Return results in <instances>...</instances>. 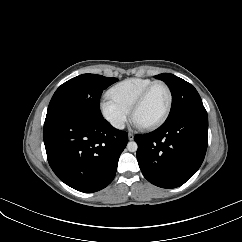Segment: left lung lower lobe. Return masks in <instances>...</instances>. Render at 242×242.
Segmentation results:
<instances>
[{
    "instance_id": "1",
    "label": "left lung lower lobe",
    "mask_w": 242,
    "mask_h": 242,
    "mask_svg": "<svg viewBox=\"0 0 242 242\" xmlns=\"http://www.w3.org/2000/svg\"><path fill=\"white\" fill-rule=\"evenodd\" d=\"M137 160L144 177L162 188H176L201 166L208 144L205 108L175 116L153 132L136 135Z\"/></svg>"
}]
</instances>
